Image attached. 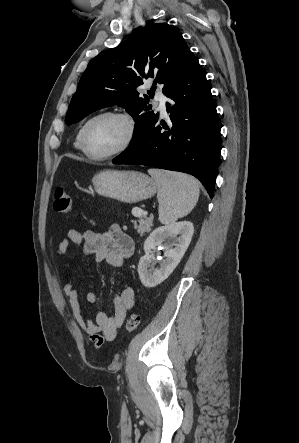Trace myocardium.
Returning <instances> with one entry per match:
<instances>
[{"label":"myocardium","mask_w":299,"mask_h":443,"mask_svg":"<svg viewBox=\"0 0 299 443\" xmlns=\"http://www.w3.org/2000/svg\"><path fill=\"white\" fill-rule=\"evenodd\" d=\"M102 117H115V118L121 119L126 124L127 133H126V137H125L124 141L122 142V144L118 148H116L115 150H113L109 153L97 155V154L92 153L88 149L87 144H86V133H87V129H88L89 125L93 121H95L99 118H102ZM135 135H136V123L130 114H128L126 112H122V111H117V110H106V111H102V112L95 114L90 119H88L85 122V124L82 126L81 133H80V147H81V150L85 153V155L93 160H107V159L113 158L115 156H118L121 153H123L124 151H126L130 147V145L133 143Z\"/></svg>","instance_id":"obj_1"}]
</instances>
